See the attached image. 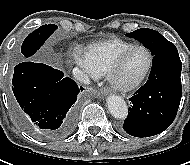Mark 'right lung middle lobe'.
Listing matches in <instances>:
<instances>
[{"label": "right lung middle lobe", "instance_id": "dd1d6c3e", "mask_svg": "<svg viewBox=\"0 0 190 165\" xmlns=\"http://www.w3.org/2000/svg\"><path fill=\"white\" fill-rule=\"evenodd\" d=\"M57 29L56 25H43L30 33L24 40L21 48L22 54L28 58L43 45L45 40Z\"/></svg>", "mask_w": 190, "mask_h": 165}]
</instances>
